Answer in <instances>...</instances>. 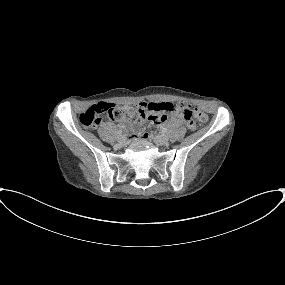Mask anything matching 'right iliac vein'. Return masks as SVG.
Wrapping results in <instances>:
<instances>
[{"instance_id": "1", "label": "right iliac vein", "mask_w": 285, "mask_h": 285, "mask_svg": "<svg viewBox=\"0 0 285 285\" xmlns=\"http://www.w3.org/2000/svg\"><path fill=\"white\" fill-rule=\"evenodd\" d=\"M118 144L119 146H124L126 144V137L125 136L118 137Z\"/></svg>"}]
</instances>
